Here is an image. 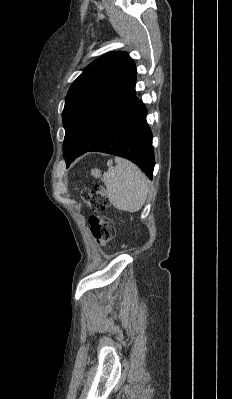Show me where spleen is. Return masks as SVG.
Listing matches in <instances>:
<instances>
[{"label": "spleen", "mask_w": 232, "mask_h": 399, "mask_svg": "<svg viewBox=\"0 0 232 399\" xmlns=\"http://www.w3.org/2000/svg\"><path fill=\"white\" fill-rule=\"evenodd\" d=\"M116 166L109 168L103 176L100 170H91L93 178H102L109 200L116 209L139 211L148 196V180L138 166L115 158Z\"/></svg>", "instance_id": "3e777b00"}]
</instances>
